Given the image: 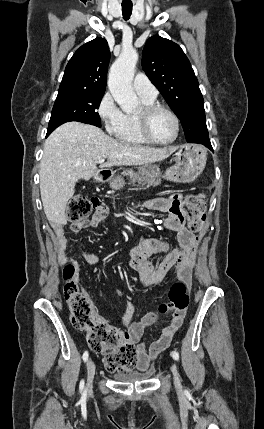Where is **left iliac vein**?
I'll list each match as a JSON object with an SVG mask.
<instances>
[{"label":"left iliac vein","instance_id":"obj_1","mask_svg":"<svg viewBox=\"0 0 264 429\" xmlns=\"http://www.w3.org/2000/svg\"><path fill=\"white\" fill-rule=\"evenodd\" d=\"M171 372H172V374H173V378H174V382H175V384H176V385H180V375H179V372H178V370H177V366H176V364H175V363H173V364L171 365Z\"/></svg>","mask_w":264,"mask_h":429}]
</instances>
